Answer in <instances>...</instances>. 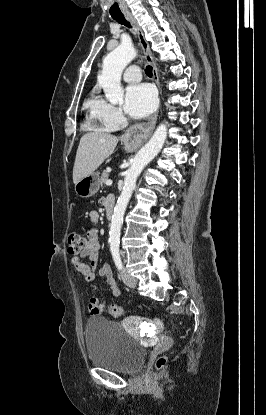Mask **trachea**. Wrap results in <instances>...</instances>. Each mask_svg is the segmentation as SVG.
<instances>
[{
	"mask_svg": "<svg viewBox=\"0 0 266 415\" xmlns=\"http://www.w3.org/2000/svg\"><path fill=\"white\" fill-rule=\"evenodd\" d=\"M112 18L117 21L119 24L125 25L126 27H131L130 23L126 21L123 15L112 16ZM147 76H152V66H146L145 70Z\"/></svg>",
	"mask_w": 266,
	"mask_h": 415,
	"instance_id": "trachea-1",
	"label": "trachea"
}]
</instances>
